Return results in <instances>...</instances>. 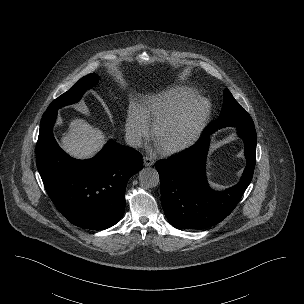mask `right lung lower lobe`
Here are the masks:
<instances>
[{
    "instance_id": "98d812e1",
    "label": "right lung lower lobe",
    "mask_w": 304,
    "mask_h": 304,
    "mask_svg": "<svg viewBox=\"0 0 304 304\" xmlns=\"http://www.w3.org/2000/svg\"><path fill=\"white\" fill-rule=\"evenodd\" d=\"M56 116L57 109L43 114L36 145V164L45 189L72 224L107 229L124 214L126 185L142 169V156L111 140L94 158L73 159L53 136Z\"/></svg>"
}]
</instances>
